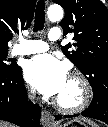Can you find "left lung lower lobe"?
<instances>
[{"instance_id": "0a47b994", "label": "left lung lower lobe", "mask_w": 108, "mask_h": 127, "mask_svg": "<svg viewBox=\"0 0 108 127\" xmlns=\"http://www.w3.org/2000/svg\"><path fill=\"white\" fill-rule=\"evenodd\" d=\"M85 117L94 118L101 120L108 124V92L99 90L94 92L93 100L90 106L81 113ZM78 116L76 115H67L65 117ZM56 119H60V115H55Z\"/></svg>"}]
</instances>
